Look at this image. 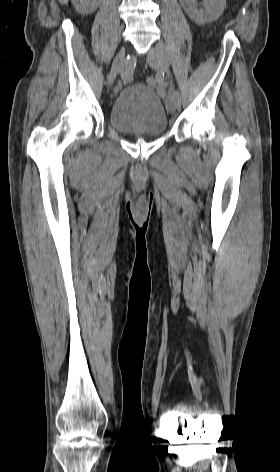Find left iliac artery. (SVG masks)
Returning <instances> with one entry per match:
<instances>
[{
  "label": "left iliac artery",
  "instance_id": "obj_1",
  "mask_svg": "<svg viewBox=\"0 0 280 472\" xmlns=\"http://www.w3.org/2000/svg\"><path fill=\"white\" fill-rule=\"evenodd\" d=\"M158 51L160 53V56L161 58H163L165 61H167V54H166V49L165 47H159L158 48ZM175 97H176V101H177V105H179L180 101H179V93L178 91L175 92Z\"/></svg>",
  "mask_w": 280,
  "mask_h": 472
}]
</instances>
